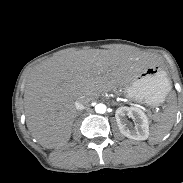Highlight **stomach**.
Masks as SVG:
<instances>
[{"mask_svg": "<svg viewBox=\"0 0 183 183\" xmlns=\"http://www.w3.org/2000/svg\"><path fill=\"white\" fill-rule=\"evenodd\" d=\"M170 87L171 83L166 73L154 66L136 73L123 86L128 97L150 106L164 102Z\"/></svg>", "mask_w": 183, "mask_h": 183, "instance_id": "1", "label": "stomach"}]
</instances>
